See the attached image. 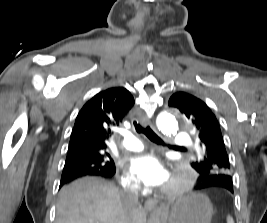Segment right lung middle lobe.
Masks as SVG:
<instances>
[{"instance_id":"dd1d6c3e","label":"right lung middle lobe","mask_w":267,"mask_h":223,"mask_svg":"<svg viewBox=\"0 0 267 223\" xmlns=\"http://www.w3.org/2000/svg\"><path fill=\"white\" fill-rule=\"evenodd\" d=\"M63 171L114 173L115 164L107 151H96L89 147L84 148L82 153H69Z\"/></svg>"}]
</instances>
